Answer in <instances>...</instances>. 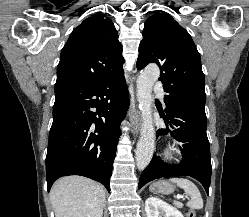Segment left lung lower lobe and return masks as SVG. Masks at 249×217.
<instances>
[{
	"label": "left lung lower lobe",
	"mask_w": 249,
	"mask_h": 217,
	"mask_svg": "<svg viewBox=\"0 0 249 217\" xmlns=\"http://www.w3.org/2000/svg\"><path fill=\"white\" fill-rule=\"evenodd\" d=\"M166 130L157 134H170L180 143L183 159L180 164L168 165L154 155L150 164L142 172L140 189L146 183L159 178L191 176L197 179L209 193L211 180V156L206 134L207 120L205 108L188 102H177L165 109Z\"/></svg>",
	"instance_id": "0a47b994"
}]
</instances>
